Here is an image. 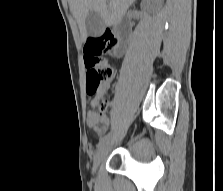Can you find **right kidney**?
Wrapping results in <instances>:
<instances>
[{"instance_id": "obj_1", "label": "right kidney", "mask_w": 223, "mask_h": 191, "mask_svg": "<svg viewBox=\"0 0 223 191\" xmlns=\"http://www.w3.org/2000/svg\"><path fill=\"white\" fill-rule=\"evenodd\" d=\"M149 4H150L149 1H147V0L143 1V7L148 6Z\"/></svg>"}]
</instances>
